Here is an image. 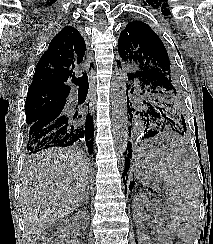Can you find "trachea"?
<instances>
[{"mask_svg":"<svg viewBox=\"0 0 213 244\" xmlns=\"http://www.w3.org/2000/svg\"><path fill=\"white\" fill-rule=\"evenodd\" d=\"M73 83L79 86L80 93H87L89 88L88 76L87 74H83L80 78H73Z\"/></svg>","mask_w":213,"mask_h":244,"instance_id":"3493384b","label":"trachea"}]
</instances>
